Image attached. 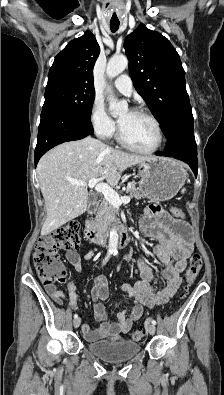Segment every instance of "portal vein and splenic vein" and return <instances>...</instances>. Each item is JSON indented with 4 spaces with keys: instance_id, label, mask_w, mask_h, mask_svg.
I'll return each instance as SVG.
<instances>
[{
    "instance_id": "18ae733b",
    "label": "portal vein and splenic vein",
    "mask_w": 224,
    "mask_h": 395,
    "mask_svg": "<svg viewBox=\"0 0 224 395\" xmlns=\"http://www.w3.org/2000/svg\"><path fill=\"white\" fill-rule=\"evenodd\" d=\"M103 179L104 177L98 179H90L88 183L77 180H70V183L76 186H88L89 188H94L97 192L102 193L104 195V198L115 207H119L122 204H127L130 202L129 196L119 197L118 193L113 190L108 184L101 183Z\"/></svg>"
}]
</instances>
